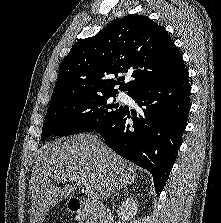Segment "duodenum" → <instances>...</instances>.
Masks as SVG:
<instances>
[{
  "instance_id": "410a0bca",
  "label": "duodenum",
  "mask_w": 221,
  "mask_h": 223,
  "mask_svg": "<svg viewBox=\"0 0 221 223\" xmlns=\"http://www.w3.org/2000/svg\"><path fill=\"white\" fill-rule=\"evenodd\" d=\"M68 206L78 221L92 218L94 223H109L107 209L101 204L79 198H71Z\"/></svg>"
}]
</instances>
